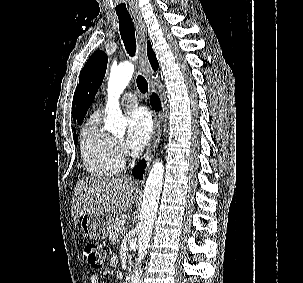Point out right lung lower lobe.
Listing matches in <instances>:
<instances>
[{"mask_svg":"<svg viewBox=\"0 0 303 283\" xmlns=\"http://www.w3.org/2000/svg\"><path fill=\"white\" fill-rule=\"evenodd\" d=\"M151 105L153 106V108L155 110H159L161 107L159 97L155 93H153L151 95ZM145 167H146V164H145L144 160L140 161L137 164V166H135L133 169L134 177L142 179Z\"/></svg>","mask_w":303,"mask_h":283,"instance_id":"98d812e1","label":"right lung lower lobe"}]
</instances>
